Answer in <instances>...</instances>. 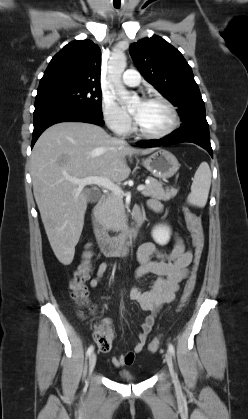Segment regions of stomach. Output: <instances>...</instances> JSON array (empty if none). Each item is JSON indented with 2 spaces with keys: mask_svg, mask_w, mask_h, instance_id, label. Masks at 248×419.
Returning a JSON list of instances; mask_svg holds the SVG:
<instances>
[{
  "mask_svg": "<svg viewBox=\"0 0 248 419\" xmlns=\"http://www.w3.org/2000/svg\"><path fill=\"white\" fill-rule=\"evenodd\" d=\"M143 166L155 177L167 179L172 177L179 169L177 158L169 151L159 149L146 159Z\"/></svg>",
  "mask_w": 248,
  "mask_h": 419,
  "instance_id": "obj_1",
  "label": "stomach"
}]
</instances>
